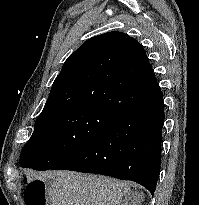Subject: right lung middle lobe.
<instances>
[{"mask_svg": "<svg viewBox=\"0 0 199 205\" xmlns=\"http://www.w3.org/2000/svg\"><path fill=\"white\" fill-rule=\"evenodd\" d=\"M118 116L91 106L42 111L21 151L22 167L48 170L93 142Z\"/></svg>", "mask_w": 199, "mask_h": 205, "instance_id": "right-lung-middle-lobe-1", "label": "right lung middle lobe"}]
</instances>
